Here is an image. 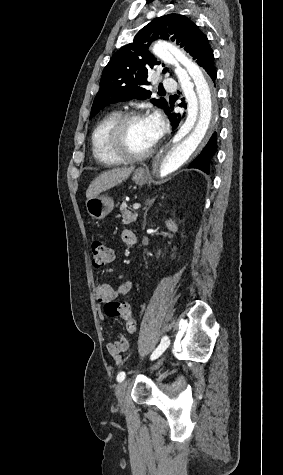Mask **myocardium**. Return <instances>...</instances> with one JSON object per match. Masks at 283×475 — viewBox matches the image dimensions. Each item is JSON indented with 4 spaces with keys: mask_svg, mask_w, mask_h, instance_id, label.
I'll return each mask as SVG.
<instances>
[{
    "mask_svg": "<svg viewBox=\"0 0 283 475\" xmlns=\"http://www.w3.org/2000/svg\"><path fill=\"white\" fill-rule=\"evenodd\" d=\"M141 117H144V114L142 111L139 110L129 111L121 114L112 124L106 136L103 149L107 148L112 144H121L123 142L124 134L129 123ZM156 149L157 142L150 150L140 156L111 158L106 156L103 151L100 152V156L103 162H134V164H139L148 160L154 154Z\"/></svg>",
    "mask_w": 283,
    "mask_h": 475,
    "instance_id": "obj_1",
    "label": "myocardium"
}]
</instances>
